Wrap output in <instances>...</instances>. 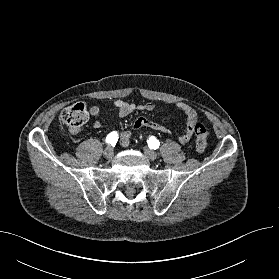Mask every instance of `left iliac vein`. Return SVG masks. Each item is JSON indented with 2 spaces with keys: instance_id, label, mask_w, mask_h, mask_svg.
I'll list each match as a JSON object with an SVG mask.
<instances>
[{
  "instance_id": "1",
  "label": "left iliac vein",
  "mask_w": 279,
  "mask_h": 279,
  "mask_svg": "<svg viewBox=\"0 0 279 279\" xmlns=\"http://www.w3.org/2000/svg\"><path fill=\"white\" fill-rule=\"evenodd\" d=\"M144 154L146 155L147 158H149L150 160H155L157 159V153L147 147H145L143 149Z\"/></svg>"
}]
</instances>
